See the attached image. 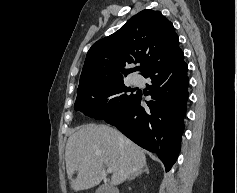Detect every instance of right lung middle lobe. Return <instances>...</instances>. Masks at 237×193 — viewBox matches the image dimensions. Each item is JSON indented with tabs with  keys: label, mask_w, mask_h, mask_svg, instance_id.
Returning <instances> with one entry per match:
<instances>
[{
	"label": "right lung middle lobe",
	"mask_w": 237,
	"mask_h": 193,
	"mask_svg": "<svg viewBox=\"0 0 237 193\" xmlns=\"http://www.w3.org/2000/svg\"><path fill=\"white\" fill-rule=\"evenodd\" d=\"M124 85V79L97 84L77 91L76 111H83L95 119H105L123 110L136 93Z\"/></svg>",
	"instance_id": "1"
}]
</instances>
